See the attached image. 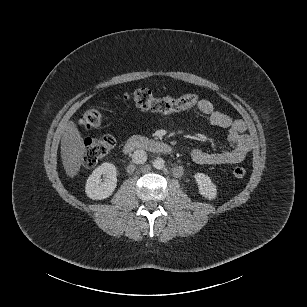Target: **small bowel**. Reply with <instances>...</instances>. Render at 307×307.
I'll use <instances>...</instances> for the list:
<instances>
[{
  "label": "small bowel",
  "mask_w": 307,
  "mask_h": 307,
  "mask_svg": "<svg viewBox=\"0 0 307 307\" xmlns=\"http://www.w3.org/2000/svg\"><path fill=\"white\" fill-rule=\"evenodd\" d=\"M199 115L213 126L228 131L229 148L216 152H209L194 148L190 152L193 162L200 165H225L242 162L252 149L250 136L246 133L243 121L235 120L229 115L218 111L212 102L201 99L196 105Z\"/></svg>",
  "instance_id": "obj_1"
}]
</instances>
